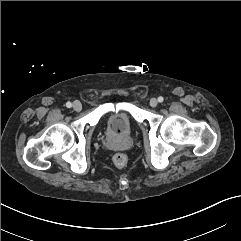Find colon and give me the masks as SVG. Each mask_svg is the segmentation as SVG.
<instances>
[{
  "label": "colon",
  "instance_id": "colon-1",
  "mask_svg": "<svg viewBox=\"0 0 241 241\" xmlns=\"http://www.w3.org/2000/svg\"><path fill=\"white\" fill-rule=\"evenodd\" d=\"M128 158L124 153H117L113 157V162L117 167H123L127 164Z\"/></svg>",
  "mask_w": 241,
  "mask_h": 241
}]
</instances>
